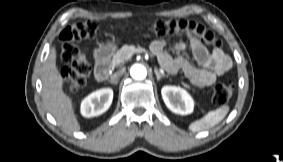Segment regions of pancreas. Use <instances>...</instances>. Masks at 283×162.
<instances>
[{"label":"pancreas","mask_w":283,"mask_h":162,"mask_svg":"<svg viewBox=\"0 0 283 162\" xmlns=\"http://www.w3.org/2000/svg\"><path fill=\"white\" fill-rule=\"evenodd\" d=\"M143 48H136L133 45H124L121 49H119L112 59V66H118L123 64L129 57L135 52H144ZM183 86L190 89V85L183 83Z\"/></svg>","instance_id":"obj_1"}]
</instances>
